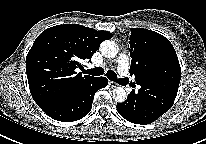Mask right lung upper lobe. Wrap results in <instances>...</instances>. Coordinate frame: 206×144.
<instances>
[{"instance_id":"cb5924a9","label":"right lung upper lobe","mask_w":206,"mask_h":144,"mask_svg":"<svg viewBox=\"0 0 206 144\" xmlns=\"http://www.w3.org/2000/svg\"><path fill=\"white\" fill-rule=\"evenodd\" d=\"M112 37L77 24L57 25L44 30L26 57L31 95L40 108L77 92L95 77L77 73L81 61L91 59L101 42Z\"/></svg>"}]
</instances>
